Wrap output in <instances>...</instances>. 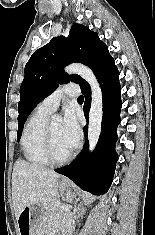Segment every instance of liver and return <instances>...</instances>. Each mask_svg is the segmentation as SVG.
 Returning a JSON list of instances; mask_svg holds the SVG:
<instances>
[{
  "mask_svg": "<svg viewBox=\"0 0 155 235\" xmlns=\"http://www.w3.org/2000/svg\"><path fill=\"white\" fill-rule=\"evenodd\" d=\"M60 175L42 166L18 159L12 173V200L16 220L24 208L46 203L58 194Z\"/></svg>",
  "mask_w": 155,
  "mask_h": 235,
  "instance_id": "liver-1",
  "label": "liver"
}]
</instances>
